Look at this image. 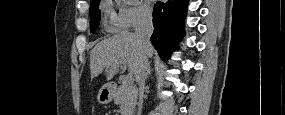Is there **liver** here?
<instances>
[{
    "instance_id": "obj_1",
    "label": "liver",
    "mask_w": 285,
    "mask_h": 115,
    "mask_svg": "<svg viewBox=\"0 0 285 115\" xmlns=\"http://www.w3.org/2000/svg\"><path fill=\"white\" fill-rule=\"evenodd\" d=\"M151 46L149 57L153 55ZM143 48L133 33L120 32L99 42L90 54L91 78L106 72L107 80L118 73L120 65L125 62L130 74H136L143 58Z\"/></svg>"
}]
</instances>
